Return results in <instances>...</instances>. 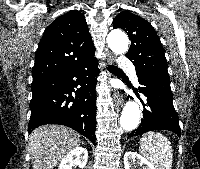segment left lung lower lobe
<instances>
[{"instance_id":"1","label":"left lung lower lobe","mask_w":200,"mask_h":169,"mask_svg":"<svg viewBox=\"0 0 200 169\" xmlns=\"http://www.w3.org/2000/svg\"><path fill=\"white\" fill-rule=\"evenodd\" d=\"M138 82L141 85L139 90L146 97L143 119L140 126L128 137L137 136L147 131L169 130L181 135L178 122V114L173 106V94L170 82L160 81L148 76L138 75Z\"/></svg>"}]
</instances>
